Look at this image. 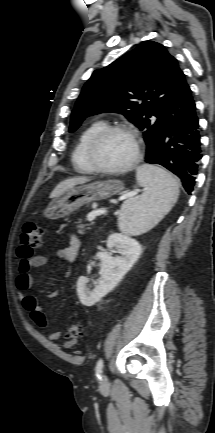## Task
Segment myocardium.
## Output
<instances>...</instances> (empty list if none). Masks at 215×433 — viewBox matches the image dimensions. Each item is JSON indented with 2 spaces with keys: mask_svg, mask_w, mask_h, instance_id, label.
<instances>
[{
  "mask_svg": "<svg viewBox=\"0 0 215 433\" xmlns=\"http://www.w3.org/2000/svg\"><path fill=\"white\" fill-rule=\"evenodd\" d=\"M112 133H122L127 135L128 137L131 138L135 146V152L132 159L126 165L119 168L103 167L99 165L95 159V150L97 145L103 138H105L106 136ZM142 151H143L142 143L140 138L136 134V132H134L132 129L126 126L113 125V126L104 127L92 137V139L90 140L87 146L86 157L89 165L92 167L94 171L105 173V174H111V175H120L131 171L138 165L142 157Z\"/></svg>",
  "mask_w": 215,
  "mask_h": 433,
  "instance_id": "myocardium-1",
  "label": "myocardium"
}]
</instances>
